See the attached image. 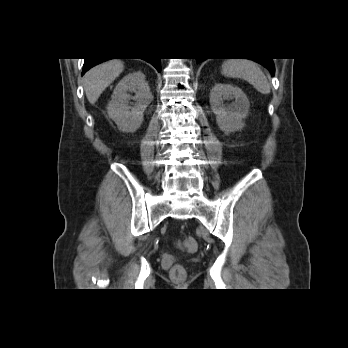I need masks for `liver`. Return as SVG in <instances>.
<instances>
[{"label":"liver","mask_w":348,"mask_h":348,"mask_svg":"<svg viewBox=\"0 0 348 348\" xmlns=\"http://www.w3.org/2000/svg\"><path fill=\"white\" fill-rule=\"evenodd\" d=\"M123 62L111 59L90 69L84 76V90L91 104L100 97L101 93L122 73Z\"/></svg>","instance_id":"obj_1"}]
</instances>
